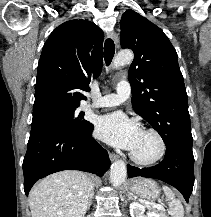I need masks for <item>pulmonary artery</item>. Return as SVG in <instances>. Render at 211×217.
<instances>
[{
	"label": "pulmonary artery",
	"instance_id": "obj_1",
	"mask_svg": "<svg viewBox=\"0 0 211 217\" xmlns=\"http://www.w3.org/2000/svg\"><path fill=\"white\" fill-rule=\"evenodd\" d=\"M131 94V87L128 81H120L116 85V92L112 94H107L95 101L92 104H89V108H107L115 107L123 103L126 99L129 98Z\"/></svg>",
	"mask_w": 211,
	"mask_h": 217
}]
</instances>
